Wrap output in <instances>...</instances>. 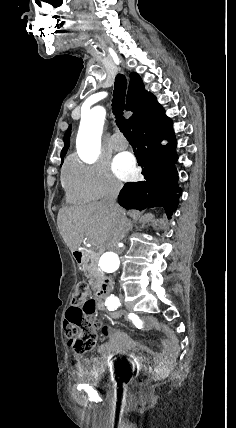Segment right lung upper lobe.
<instances>
[{
	"label": "right lung upper lobe",
	"mask_w": 236,
	"mask_h": 428,
	"mask_svg": "<svg viewBox=\"0 0 236 428\" xmlns=\"http://www.w3.org/2000/svg\"><path fill=\"white\" fill-rule=\"evenodd\" d=\"M130 83L127 93V104L126 109L133 111L134 114L129 118V123L131 128L139 124L149 116L154 113L162 110L161 105L156 101V97L150 92L145 91L144 85L141 82L140 76L133 72L130 74ZM71 133V125L65 133L64 137V148L61 152V159L66 154L67 149L69 148V137Z\"/></svg>",
	"instance_id": "cb5924a9"
}]
</instances>
